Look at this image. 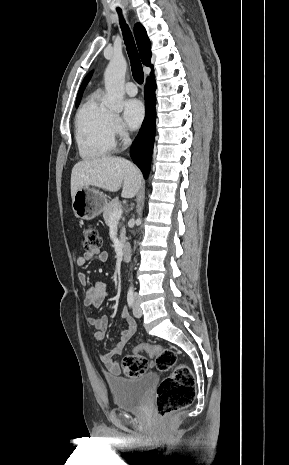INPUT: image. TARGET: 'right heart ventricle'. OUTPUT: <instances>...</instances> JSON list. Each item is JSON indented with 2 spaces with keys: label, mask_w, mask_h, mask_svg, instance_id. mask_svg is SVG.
I'll return each instance as SVG.
<instances>
[{
  "label": "right heart ventricle",
  "mask_w": 289,
  "mask_h": 465,
  "mask_svg": "<svg viewBox=\"0 0 289 465\" xmlns=\"http://www.w3.org/2000/svg\"><path fill=\"white\" fill-rule=\"evenodd\" d=\"M112 114L101 104L100 91L88 96L79 107L74 132L80 156L95 160L109 155L115 147L111 130Z\"/></svg>",
  "instance_id": "e07e8e85"
}]
</instances>
